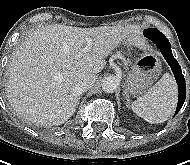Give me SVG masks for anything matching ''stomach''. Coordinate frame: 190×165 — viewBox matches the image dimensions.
I'll return each instance as SVG.
<instances>
[{
    "instance_id": "0dacf381",
    "label": "stomach",
    "mask_w": 190,
    "mask_h": 165,
    "mask_svg": "<svg viewBox=\"0 0 190 165\" xmlns=\"http://www.w3.org/2000/svg\"><path fill=\"white\" fill-rule=\"evenodd\" d=\"M161 72L159 59L152 54H142L136 58L126 79V92L139 96L150 90Z\"/></svg>"
}]
</instances>
